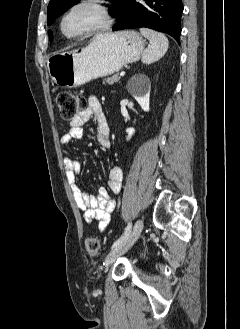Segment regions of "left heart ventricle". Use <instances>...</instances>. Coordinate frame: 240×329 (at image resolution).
I'll use <instances>...</instances> for the list:
<instances>
[{"label":"left heart ventricle","mask_w":240,"mask_h":329,"mask_svg":"<svg viewBox=\"0 0 240 329\" xmlns=\"http://www.w3.org/2000/svg\"><path fill=\"white\" fill-rule=\"evenodd\" d=\"M100 21V15L96 8L83 6L77 8L65 20L64 29L67 33H75L89 28Z\"/></svg>","instance_id":"b2bd125f"}]
</instances>
